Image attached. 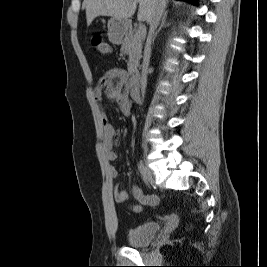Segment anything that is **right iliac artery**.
<instances>
[{
    "mask_svg": "<svg viewBox=\"0 0 267 267\" xmlns=\"http://www.w3.org/2000/svg\"><path fill=\"white\" fill-rule=\"evenodd\" d=\"M138 170L143 176L144 181L148 184L149 183V178L146 175V172L144 170V166L142 164H138Z\"/></svg>",
    "mask_w": 267,
    "mask_h": 267,
    "instance_id": "obj_1",
    "label": "right iliac artery"
}]
</instances>
